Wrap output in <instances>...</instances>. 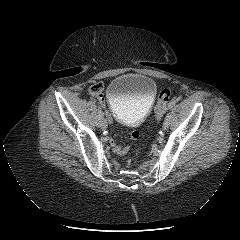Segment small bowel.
I'll return each mask as SVG.
<instances>
[{
	"mask_svg": "<svg viewBox=\"0 0 240 240\" xmlns=\"http://www.w3.org/2000/svg\"><path fill=\"white\" fill-rule=\"evenodd\" d=\"M98 102L99 103H104L105 102V96L102 93L98 94ZM102 113L106 116V122L107 123H113L114 122V117L110 114V108L108 106H103L102 107ZM140 138V133L136 130L133 131H128L126 133V139L128 141H136ZM113 146H114V152L118 155H122L127 153V151L129 150V147L127 146H121V145H117L115 144L113 141H111Z\"/></svg>",
	"mask_w": 240,
	"mask_h": 240,
	"instance_id": "small-bowel-1",
	"label": "small bowel"
}]
</instances>
